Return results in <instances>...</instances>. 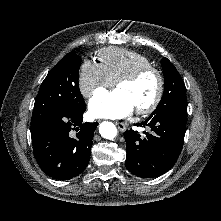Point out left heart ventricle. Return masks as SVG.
<instances>
[{
    "label": "left heart ventricle",
    "mask_w": 221,
    "mask_h": 221,
    "mask_svg": "<svg viewBox=\"0 0 221 221\" xmlns=\"http://www.w3.org/2000/svg\"><path fill=\"white\" fill-rule=\"evenodd\" d=\"M157 88V77L152 73L144 75L135 82L122 83L118 86V89L133 103L135 109L149 105L157 93Z\"/></svg>",
    "instance_id": "1"
}]
</instances>
